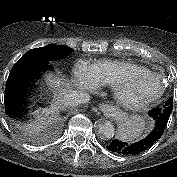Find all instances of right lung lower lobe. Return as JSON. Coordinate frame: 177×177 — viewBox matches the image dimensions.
I'll return each instance as SVG.
<instances>
[{
  "instance_id": "1",
  "label": "right lung lower lobe",
  "mask_w": 177,
  "mask_h": 177,
  "mask_svg": "<svg viewBox=\"0 0 177 177\" xmlns=\"http://www.w3.org/2000/svg\"><path fill=\"white\" fill-rule=\"evenodd\" d=\"M49 59L38 56H22L15 64L7 79L5 89V110L9 117L16 118L26 114L28 88L38 74L48 68H52Z\"/></svg>"
}]
</instances>
